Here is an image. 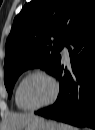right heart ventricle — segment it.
Here are the masks:
<instances>
[{
	"mask_svg": "<svg viewBox=\"0 0 95 130\" xmlns=\"http://www.w3.org/2000/svg\"><path fill=\"white\" fill-rule=\"evenodd\" d=\"M15 102H16V96H15ZM16 105H17L18 108H20L19 105L17 104V102H16ZM20 109H21V108H20Z\"/></svg>",
	"mask_w": 95,
	"mask_h": 130,
	"instance_id": "right-heart-ventricle-1",
	"label": "right heart ventricle"
}]
</instances>
